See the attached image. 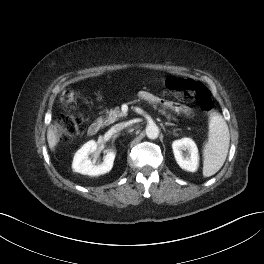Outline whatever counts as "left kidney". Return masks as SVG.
I'll return each instance as SVG.
<instances>
[{"mask_svg": "<svg viewBox=\"0 0 264 264\" xmlns=\"http://www.w3.org/2000/svg\"><path fill=\"white\" fill-rule=\"evenodd\" d=\"M172 149L177 164L190 172H195L199 164L198 148L195 142L190 138H182L172 143ZM188 151L184 154L183 151Z\"/></svg>", "mask_w": 264, "mask_h": 264, "instance_id": "1", "label": "left kidney"}]
</instances>
